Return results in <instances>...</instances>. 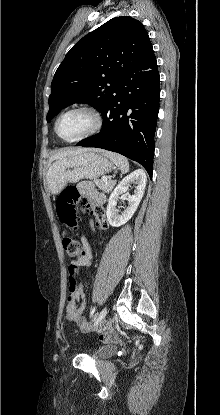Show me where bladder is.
<instances>
[{
  "label": "bladder",
  "instance_id": "bladder-1",
  "mask_svg": "<svg viewBox=\"0 0 220 415\" xmlns=\"http://www.w3.org/2000/svg\"><path fill=\"white\" fill-rule=\"evenodd\" d=\"M115 351H116V346L110 345V346H106V347L99 349V354L107 356V355L113 354Z\"/></svg>",
  "mask_w": 220,
  "mask_h": 415
}]
</instances>
